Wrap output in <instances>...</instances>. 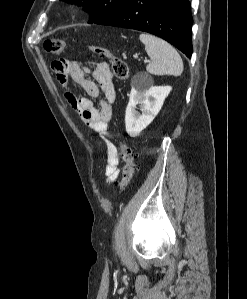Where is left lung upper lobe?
Segmentation results:
<instances>
[{
    "label": "left lung upper lobe",
    "instance_id": "1",
    "mask_svg": "<svg viewBox=\"0 0 247 299\" xmlns=\"http://www.w3.org/2000/svg\"><path fill=\"white\" fill-rule=\"evenodd\" d=\"M66 2L75 3L76 0H61ZM121 0H85V11L90 12L88 23H94L96 20L102 18L110 13Z\"/></svg>",
    "mask_w": 247,
    "mask_h": 299
}]
</instances>
